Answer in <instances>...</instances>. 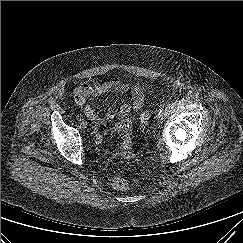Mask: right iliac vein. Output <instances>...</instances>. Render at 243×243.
<instances>
[{
  "mask_svg": "<svg viewBox=\"0 0 243 243\" xmlns=\"http://www.w3.org/2000/svg\"><path fill=\"white\" fill-rule=\"evenodd\" d=\"M79 124L82 129H86L88 126L87 122L84 119L80 120Z\"/></svg>",
  "mask_w": 243,
  "mask_h": 243,
  "instance_id": "obj_1",
  "label": "right iliac vein"
}]
</instances>
